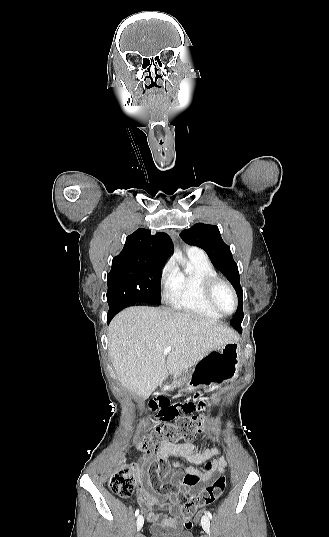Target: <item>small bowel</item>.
<instances>
[{
  "mask_svg": "<svg viewBox=\"0 0 329 537\" xmlns=\"http://www.w3.org/2000/svg\"><path fill=\"white\" fill-rule=\"evenodd\" d=\"M203 394L204 391L201 393L197 391L196 396L186 398L182 404L180 402L165 403L163 408L157 409V422L173 423L179 412L195 414L198 409L204 410L206 401H203ZM218 452L219 449L216 447L198 452L188 442L164 443L155 458L145 456L140 460L139 465H132L136 472L137 482L140 484L137 502L142 512L146 514L147 520L152 524V532L178 531L183 528L184 521L180 518V507L188 501V495H192L200 487L226 471L227 462L224 456L212 459L213 455ZM174 457L183 458L195 465L202 463L205 465L198 470L194 466L182 465L179 461L173 460ZM154 462H156V468L153 475H161L157 488L153 486L147 473L149 465ZM166 485H170L174 490H167ZM153 507H159L169 515L152 512Z\"/></svg>",
  "mask_w": 329,
  "mask_h": 537,
  "instance_id": "obj_1",
  "label": "small bowel"
}]
</instances>
